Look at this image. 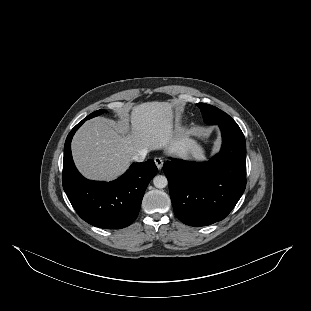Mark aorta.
I'll return each instance as SVG.
<instances>
[{"label": "aorta", "mask_w": 311, "mask_h": 311, "mask_svg": "<svg viewBox=\"0 0 311 311\" xmlns=\"http://www.w3.org/2000/svg\"><path fill=\"white\" fill-rule=\"evenodd\" d=\"M153 184L158 189H163L167 186L168 180L163 175H157L153 178Z\"/></svg>", "instance_id": "aorta-1"}]
</instances>
